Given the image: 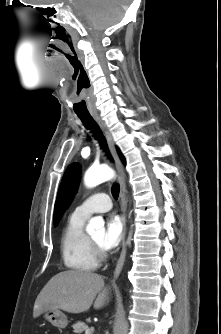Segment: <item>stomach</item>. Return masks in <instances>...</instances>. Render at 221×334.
Masks as SVG:
<instances>
[{
	"mask_svg": "<svg viewBox=\"0 0 221 334\" xmlns=\"http://www.w3.org/2000/svg\"><path fill=\"white\" fill-rule=\"evenodd\" d=\"M43 317L58 328H65L68 325L67 316L59 309L47 310L43 313Z\"/></svg>",
	"mask_w": 221,
	"mask_h": 334,
	"instance_id": "1",
	"label": "stomach"
}]
</instances>
